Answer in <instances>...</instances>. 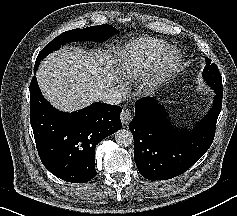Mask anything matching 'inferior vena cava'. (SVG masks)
I'll return each mask as SVG.
<instances>
[{"mask_svg":"<svg viewBox=\"0 0 237 216\" xmlns=\"http://www.w3.org/2000/svg\"><path fill=\"white\" fill-rule=\"evenodd\" d=\"M98 99L109 105H119L122 102V95L116 88L108 87L100 92Z\"/></svg>","mask_w":237,"mask_h":216,"instance_id":"inferior-vena-cava-1","label":"inferior vena cava"}]
</instances>
